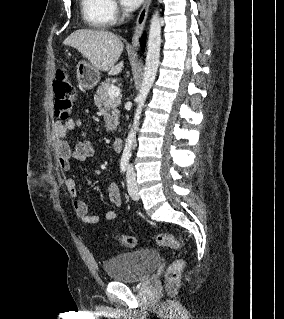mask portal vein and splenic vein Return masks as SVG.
<instances>
[{
	"label": "portal vein and splenic vein",
	"mask_w": 284,
	"mask_h": 319,
	"mask_svg": "<svg viewBox=\"0 0 284 319\" xmlns=\"http://www.w3.org/2000/svg\"><path fill=\"white\" fill-rule=\"evenodd\" d=\"M108 94L110 98L118 97L120 95V88L113 85L109 88Z\"/></svg>",
	"instance_id": "portal-vein-and-splenic-vein-1"
}]
</instances>
